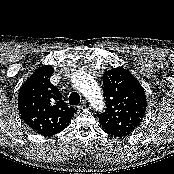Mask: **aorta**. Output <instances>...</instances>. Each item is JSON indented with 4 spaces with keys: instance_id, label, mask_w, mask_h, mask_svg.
Listing matches in <instances>:
<instances>
[{
    "instance_id": "aorta-1",
    "label": "aorta",
    "mask_w": 174,
    "mask_h": 174,
    "mask_svg": "<svg viewBox=\"0 0 174 174\" xmlns=\"http://www.w3.org/2000/svg\"><path fill=\"white\" fill-rule=\"evenodd\" d=\"M73 85L89 100L96 110H102L105 106L103 97L95 80L84 71H76L71 76Z\"/></svg>"
}]
</instances>
